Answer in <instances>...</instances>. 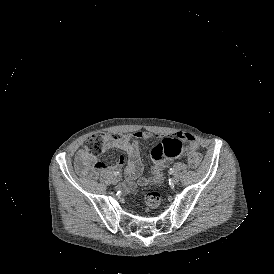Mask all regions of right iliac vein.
Returning <instances> with one entry per match:
<instances>
[{
	"mask_svg": "<svg viewBox=\"0 0 274 274\" xmlns=\"http://www.w3.org/2000/svg\"><path fill=\"white\" fill-rule=\"evenodd\" d=\"M112 183H113V185H116V184L118 183L117 178H113V179H112Z\"/></svg>",
	"mask_w": 274,
	"mask_h": 274,
	"instance_id": "63e3f726",
	"label": "right iliac vein"
}]
</instances>
